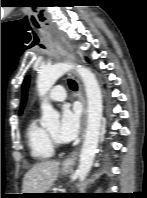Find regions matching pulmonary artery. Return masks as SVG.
Segmentation results:
<instances>
[{
    "mask_svg": "<svg viewBox=\"0 0 147 198\" xmlns=\"http://www.w3.org/2000/svg\"><path fill=\"white\" fill-rule=\"evenodd\" d=\"M66 99L65 88L61 85H57L49 93V100L52 102H62Z\"/></svg>",
    "mask_w": 147,
    "mask_h": 198,
    "instance_id": "e3ab8cb5",
    "label": "pulmonary artery"
}]
</instances>
